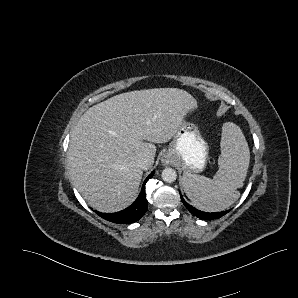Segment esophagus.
<instances>
[{
	"label": "esophagus",
	"mask_w": 298,
	"mask_h": 298,
	"mask_svg": "<svg viewBox=\"0 0 298 298\" xmlns=\"http://www.w3.org/2000/svg\"><path fill=\"white\" fill-rule=\"evenodd\" d=\"M172 162V157H171V155H166L165 156V161H164V163L166 164V165H168V164H170Z\"/></svg>",
	"instance_id": "1"
}]
</instances>
